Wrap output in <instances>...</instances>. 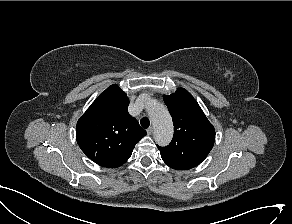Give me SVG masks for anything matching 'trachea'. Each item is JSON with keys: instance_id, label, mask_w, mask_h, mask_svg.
I'll use <instances>...</instances> for the list:
<instances>
[{"instance_id": "3493384b", "label": "trachea", "mask_w": 292, "mask_h": 224, "mask_svg": "<svg viewBox=\"0 0 292 224\" xmlns=\"http://www.w3.org/2000/svg\"><path fill=\"white\" fill-rule=\"evenodd\" d=\"M140 124H141V126H142L143 128L146 129V128L149 127V125H150V121H149L148 118L144 117V118H142V119L140 120Z\"/></svg>"}]
</instances>
